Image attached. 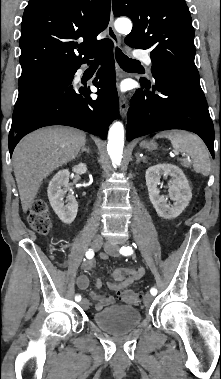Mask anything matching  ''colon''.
Wrapping results in <instances>:
<instances>
[{
	"label": "colon",
	"mask_w": 221,
	"mask_h": 379,
	"mask_svg": "<svg viewBox=\"0 0 221 379\" xmlns=\"http://www.w3.org/2000/svg\"><path fill=\"white\" fill-rule=\"evenodd\" d=\"M28 222L31 228L39 234L46 235L50 231L52 223L49 208L45 201L37 200L32 204ZM118 295L124 302L129 304H138L142 298L139 292L131 290L121 291Z\"/></svg>",
	"instance_id": "1"
}]
</instances>
